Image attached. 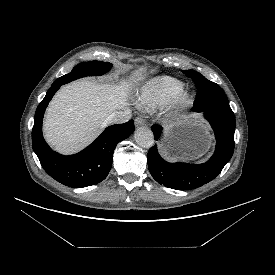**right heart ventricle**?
I'll use <instances>...</instances> for the list:
<instances>
[{
    "label": "right heart ventricle",
    "mask_w": 275,
    "mask_h": 275,
    "mask_svg": "<svg viewBox=\"0 0 275 275\" xmlns=\"http://www.w3.org/2000/svg\"><path fill=\"white\" fill-rule=\"evenodd\" d=\"M182 89L183 83L175 78L157 77L142 88L138 102L144 109H154L171 101Z\"/></svg>",
    "instance_id": "obj_1"
}]
</instances>
